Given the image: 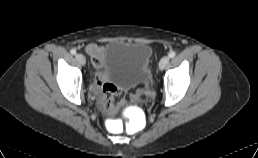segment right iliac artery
<instances>
[{"mask_svg":"<svg viewBox=\"0 0 258 158\" xmlns=\"http://www.w3.org/2000/svg\"><path fill=\"white\" fill-rule=\"evenodd\" d=\"M70 52H71V54L75 55L76 54V49L73 48V49L70 50Z\"/></svg>","mask_w":258,"mask_h":158,"instance_id":"1","label":"right iliac artery"}]
</instances>
